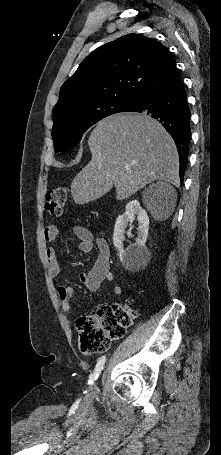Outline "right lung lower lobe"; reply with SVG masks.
<instances>
[{
	"label": "right lung lower lobe",
	"mask_w": 221,
	"mask_h": 455,
	"mask_svg": "<svg viewBox=\"0 0 221 455\" xmlns=\"http://www.w3.org/2000/svg\"><path fill=\"white\" fill-rule=\"evenodd\" d=\"M123 112L150 115L170 133L179 155V175L182 183L188 163L191 114L184 84L171 55Z\"/></svg>",
	"instance_id": "1"
}]
</instances>
